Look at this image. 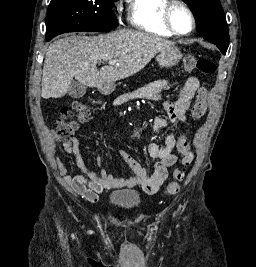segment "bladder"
I'll list each match as a JSON object with an SVG mask.
<instances>
[{
    "instance_id": "1",
    "label": "bladder",
    "mask_w": 256,
    "mask_h": 267,
    "mask_svg": "<svg viewBox=\"0 0 256 267\" xmlns=\"http://www.w3.org/2000/svg\"><path fill=\"white\" fill-rule=\"evenodd\" d=\"M109 202L120 208H131L139 204L140 198L137 191H116L109 195Z\"/></svg>"
}]
</instances>
